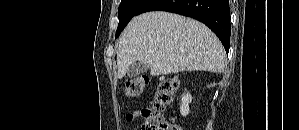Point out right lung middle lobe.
<instances>
[{"label": "right lung middle lobe", "instance_id": "dd1d6c3e", "mask_svg": "<svg viewBox=\"0 0 299 130\" xmlns=\"http://www.w3.org/2000/svg\"><path fill=\"white\" fill-rule=\"evenodd\" d=\"M147 0H121L118 9L119 24L116 31V37L125 28L128 22L136 16L137 11Z\"/></svg>", "mask_w": 299, "mask_h": 130}]
</instances>
